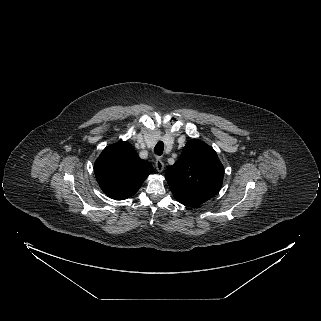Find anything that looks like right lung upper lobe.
I'll return each instance as SVG.
<instances>
[{
	"label": "right lung upper lobe",
	"mask_w": 321,
	"mask_h": 321,
	"mask_svg": "<svg viewBox=\"0 0 321 321\" xmlns=\"http://www.w3.org/2000/svg\"><path fill=\"white\" fill-rule=\"evenodd\" d=\"M152 170L151 163L141 159L126 141L106 147L94 164L100 188L115 200L134 195Z\"/></svg>",
	"instance_id": "cb5924a9"
}]
</instances>
